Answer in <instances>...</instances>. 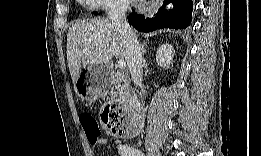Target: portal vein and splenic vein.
I'll return each mask as SVG.
<instances>
[{
	"mask_svg": "<svg viewBox=\"0 0 261 156\" xmlns=\"http://www.w3.org/2000/svg\"><path fill=\"white\" fill-rule=\"evenodd\" d=\"M118 66L120 69H124L126 67V62L123 59L118 61Z\"/></svg>",
	"mask_w": 261,
	"mask_h": 156,
	"instance_id": "1",
	"label": "portal vein and splenic vein"
}]
</instances>
